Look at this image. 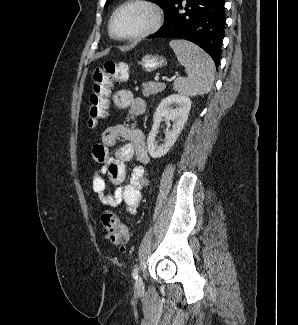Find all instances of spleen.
Here are the masks:
<instances>
[{"mask_svg":"<svg viewBox=\"0 0 298 325\" xmlns=\"http://www.w3.org/2000/svg\"><path fill=\"white\" fill-rule=\"evenodd\" d=\"M180 64L188 74L175 78L173 88L182 96H198L210 92L215 78V64L200 46L189 40H170Z\"/></svg>","mask_w":298,"mask_h":325,"instance_id":"1","label":"spleen"}]
</instances>
